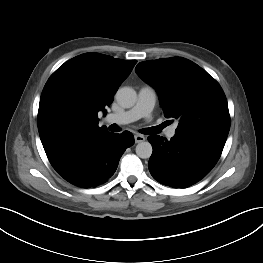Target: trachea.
Instances as JSON below:
<instances>
[{
    "instance_id": "1",
    "label": "trachea",
    "mask_w": 263,
    "mask_h": 263,
    "mask_svg": "<svg viewBox=\"0 0 263 263\" xmlns=\"http://www.w3.org/2000/svg\"><path fill=\"white\" fill-rule=\"evenodd\" d=\"M161 129H162V126H158V127L145 128V129H142L140 132L143 134L150 135V134L159 133Z\"/></svg>"
}]
</instances>
